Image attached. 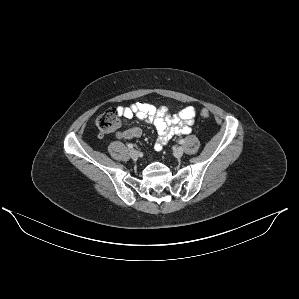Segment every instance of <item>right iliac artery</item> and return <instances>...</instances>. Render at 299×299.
<instances>
[{
    "label": "right iliac artery",
    "instance_id": "obj_1",
    "mask_svg": "<svg viewBox=\"0 0 299 299\" xmlns=\"http://www.w3.org/2000/svg\"><path fill=\"white\" fill-rule=\"evenodd\" d=\"M127 147H128V149H132L134 147V145L133 144H128Z\"/></svg>",
    "mask_w": 299,
    "mask_h": 299
}]
</instances>
